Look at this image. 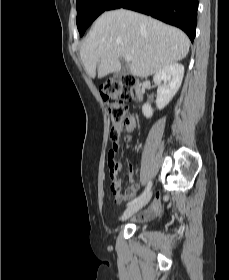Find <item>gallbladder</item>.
I'll return each instance as SVG.
<instances>
[{"label":"gallbladder","mask_w":229,"mask_h":280,"mask_svg":"<svg viewBox=\"0 0 229 280\" xmlns=\"http://www.w3.org/2000/svg\"><path fill=\"white\" fill-rule=\"evenodd\" d=\"M126 74H128V69L123 68L119 72H116L114 77L120 78L121 76L126 75Z\"/></svg>","instance_id":"gallbladder-1"}]
</instances>
